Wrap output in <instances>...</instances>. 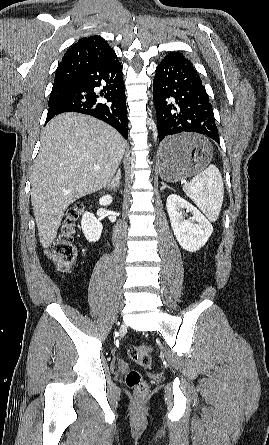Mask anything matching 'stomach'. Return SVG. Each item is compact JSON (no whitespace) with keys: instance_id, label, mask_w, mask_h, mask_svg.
<instances>
[{"instance_id":"1","label":"stomach","mask_w":269,"mask_h":445,"mask_svg":"<svg viewBox=\"0 0 269 445\" xmlns=\"http://www.w3.org/2000/svg\"><path fill=\"white\" fill-rule=\"evenodd\" d=\"M177 143L181 146L180 151L172 156H166L162 150L159 151V173L167 182H178L202 171L211 161L212 146L201 136L182 134L180 136L167 138L164 143ZM163 143V144H164Z\"/></svg>"}]
</instances>
